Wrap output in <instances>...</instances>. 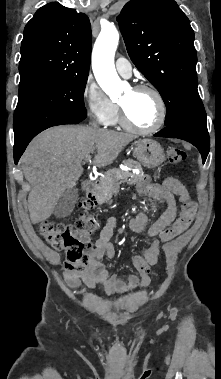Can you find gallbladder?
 I'll return each mask as SVG.
<instances>
[{
  "label": "gallbladder",
  "mask_w": 221,
  "mask_h": 379,
  "mask_svg": "<svg viewBox=\"0 0 221 379\" xmlns=\"http://www.w3.org/2000/svg\"><path fill=\"white\" fill-rule=\"evenodd\" d=\"M77 198L78 194L75 188L65 190L54 207L53 215L57 218L69 216L75 207Z\"/></svg>",
  "instance_id": "obj_1"
}]
</instances>
